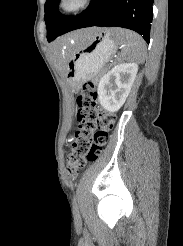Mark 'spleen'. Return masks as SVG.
Listing matches in <instances>:
<instances>
[{
	"mask_svg": "<svg viewBox=\"0 0 183 246\" xmlns=\"http://www.w3.org/2000/svg\"><path fill=\"white\" fill-rule=\"evenodd\" d=\"M116 43L123 46L122 57L127 60L144 62L146 55V45L144 40L137 33L115 28L113 32Z\"/></svg>",
	"mask_w": 183,
	"mask_h": 246,
	"instance_id": "1",
	"label": "spleen"
}]
</instances>
